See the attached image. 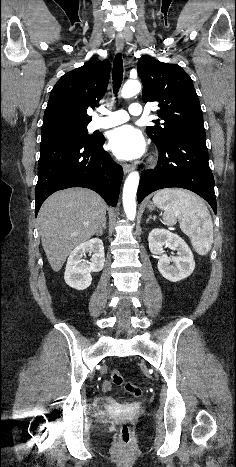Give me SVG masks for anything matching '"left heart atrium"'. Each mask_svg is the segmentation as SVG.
I'll return each instance as SVG.
<instances>
[{"instance_id":"1","label":"left heart atrium","mask_w":236,"mask_h":467,"mask_svg":"<svg viewBox=\"0 0 236 467\" xmlns=\"http://www.w3.org/2000/svg\"><path fill=\"white\" fill-rule=\"evenodd\" d=\"M109 148L120 159H134L144 153L145 144L139 131L123 125L111 131Z\"/></svg>"}]
</instances>
